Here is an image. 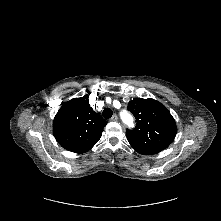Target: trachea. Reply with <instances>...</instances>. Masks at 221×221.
Masks as SVG:
<instances>
[{
	"label": "trachea",
	"mask_w": 221,
	"mask_h": 221,
	"mask_svg": "<svg viewBox=\"0 0 221 221\" xmlns=\"http://www.w3.org/2000/svg\"><path fill=\"white\" fill-rule=\"evenodd\" d=\"M102 115H103V117H104L105 119H109V118L112 117L113 112H112V110H111L110 108H105V109L103 110Z\"/></svg>",
	"instance_id": "1"
}]
</instances>
